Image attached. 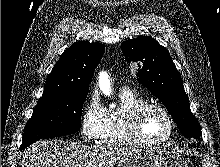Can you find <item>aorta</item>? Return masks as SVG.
Masks as SVG:
<instances>
[{
    "label": "aorta",
    "mask_w": 220,
    "mask_h": 167,
    "mask_svg": "<svg viewBox=\"0 0 220 167\" xmlns=\"http://www.w3.org/2000/svg\"><path fill=\"white\" fill-rule=\"evenodd\" d=\"M99 84H100L101 90H102L106 95H109L110 92H111V89H110V82H109L108 76H107L106 74L102 73V74L100 75Z\"/></svg>",
    "instance_id": "aorta-1"
}]
</instances>
